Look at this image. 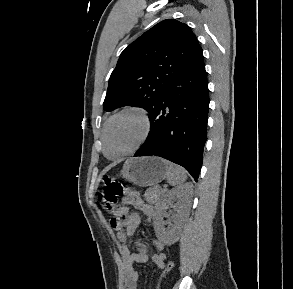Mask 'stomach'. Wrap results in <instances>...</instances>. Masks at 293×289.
Masks as SVG:
<instances>
[{
  "instance_id": "stomach-1",
  "label": "stomach",
  "mask_w": 293,
  "mask_h": 289,
  "mask_svg": "<svg viewBox=\"0 0 293 289\" xmlns=\"http://www.w3.org/2000/svg\"><path fill=\"white\" fill-rule=\"evenodd\" d=\"M122 176L137 186H151L165 179L166 167L158 157L130 158L123 165Z\"/></svg>"
}]
</instances>
